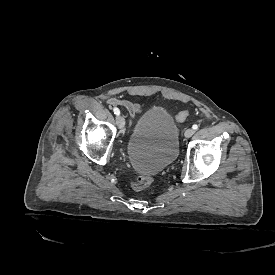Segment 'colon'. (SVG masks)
Instances as JSON below:
<instances>
[{
	"label": "colon",
	"mask_w": 275,
	"mask_h": 275,
	"mask_svg": "<svg viewBox=\"0 0 275 275\" xmlns=\"http://www.w3.org/2000/svg\"><path fill=\"white\" fill-rule=\"evenodd\" d=\"M189 112L187 110H183L179 113V116L176 118L177 122L182 121L185 117H188ZM152 178L148 174L139 175L135 181L132 183V188L135 191H142L148 188L151 185Z\"/></svg>",
	"instance_id": "1"
}]
</instances>
